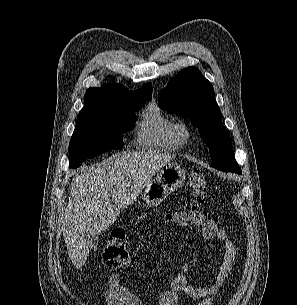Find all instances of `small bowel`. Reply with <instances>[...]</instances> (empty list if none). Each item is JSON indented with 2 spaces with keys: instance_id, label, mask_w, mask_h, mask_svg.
Wrapping results in <instances>:
<instances>
[{
  "instance_id": "obj_1",
  "label": "small bowel",
  "mask_w": 297,
  "mask_h": 305,
  "mask_svg": "<svg viewBox=\"0 0 297 305\" xmlns=\"http://www.w3.org/2000/svg\"><path fill=\"white\" fill-rule=\"evenodd\" d=\"M174 223L180 227L188 225L201 227L204 239H216L223 244L224 254L213 285L201 287L192 285L187 279L188 266L186 265L181 272L169 278L168 288L161 292L156 305H188L187 302L180 299L181 294L202 300L201 305H210L211 298L218 292L233 268L236 249L227 233L213 220L205 218L199 211L176 212ZM105 299L107 305H146L135 293L122 284L119 273L109 276L105 288Z\"/></svg>"
}]
</instances>
